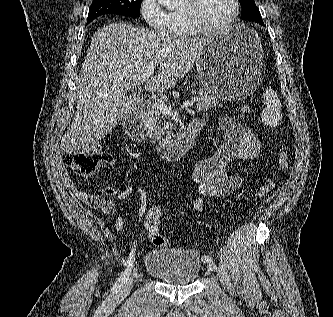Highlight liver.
<instances>
[{"mask_svg":"<svg viewBox=\"0 0 333 317\" xmlns=\"http://www.w3.org/2000/svg\"><path fill=\"white\" fill-rule=\"evenodd\" d=\"M209 37L182 38L121 22L98 29L82 65L77 111L61 151H87L133 113L128 90L143 83L152 93L173 87L193 67Z\"/></svg>","mask_w":333,"mask_h":317,"instance_id":"obj_1","label":"liver"}]
</instances>
